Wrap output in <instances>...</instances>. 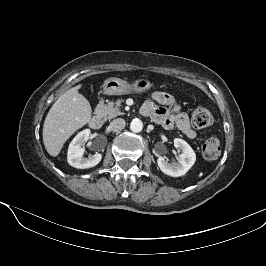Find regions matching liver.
I'll use <instances>...</instances> for the list:
<instances>
[{"label": "liver", "instance_id": "liver-1", "mask_svg": "<svg viewBox=\"0 0 266 266\" xmlns=\"http://www.w3.org/2000/svg\"><path fill=\"white\" fill-rule=\"evenodd\" d=\"M81 84L68 89L50 108L43 125V142L47 152L56 157L64 143L91 119V105L79 93Z\"/></svg>", "mask_w": 266, "mask_h": 266}]
</instances>
